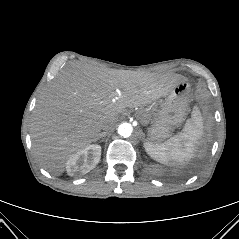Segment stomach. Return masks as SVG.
I'll return each mask as SVG.
<instances>
[{"mask_svg": "<svg viewBox=\"0 0 239 239\" xmlns=\"http://www.w3.org/2000/svg\"><path fill=\"white\" fill-rule=\"evenodd\" d=\"M189 89L187 82L180 83L159 102V109L149 131L150 141L160 142L167 139L171 131L185 120Z\"/></svg>", "mask_w": 239, "mask_h": 239, "instance_id": "0dacf381", "label": "stomach"}]
</instances>
